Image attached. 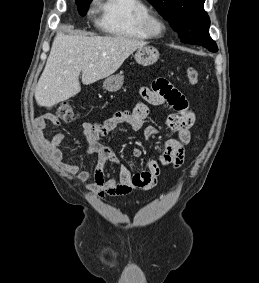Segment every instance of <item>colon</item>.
I'll list each match as a JSON object with an SVG mask.
<instances>
[{
    "instance_id": "colon-1",
    "label": "colon",
    "mask_w": 259,
    "mask_h": 283,
    "mask_svg": "<svg viewBox=\"0 0 259 283\" xmlns=\"http://www.w3.org/2000/svg\"><path fill=\"white\" fill-rule=\"evenodd\" d=\"M187 79L191 84H198L200 81V75L195 67H188L186 70ZM56 116L64 121H71L77 118V114L74 107L69 102H64L56 109Z\"/></svg>"
}]
</instances>
